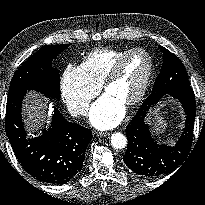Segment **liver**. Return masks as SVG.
<instances>
[{
    "mask_svg": "<svg viewBox=\"0 0 205 205\" xmlns=\"http://www.w3.org/2000/svg\"><path fill=\"white\" fill-rule=\"evenodd\" d=\"M25 124L29 132L38 129L46 120L49 122L51 109L48 100L37 92H29L24 104Z\"/></svg>",
    "mask_w": 205,
    "mask_h": 205,
    "instance_id": "liver-1",
    "label": "liver"
}]
</instances>
